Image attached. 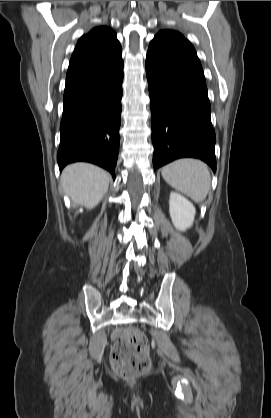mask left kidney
<instances>
[{"label":"left kidney","instance_id":"left-kidney-1","mask_svg":"<svg viewBox=\"0 0 271 418\" xmlns=\"http://www.w3.org/2000/svg\"><path fill=\"white\" fill-rule=\"evenodd\" d=\"M169 213L175 228L179 231H185L192 226L196 209L185 197L179 193L171 192Z\"/></svg>","mask_w":271,"mask_h":418}]
</instances>
